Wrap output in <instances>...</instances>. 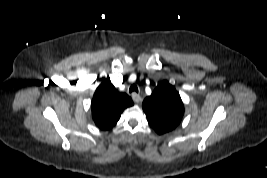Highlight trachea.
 <instances>
[{"label":"trachea","mask_w":267,"mask_h":178,"mask_svg":"<svg viewBox=\"0 0 267 178\" xmlns=\"http://www.w3.org/2000/svg\"><path fill=\"white\" fill-rule=\"evenodd\" d=\"M129 92L130 93H132V92H136V93H138V88H137V86L134 84V85H132L131 87H130V89H129Z\"/></svg>","instance_id":"3493384b"}]
</instances>
